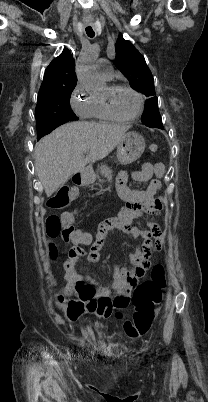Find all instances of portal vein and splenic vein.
Listing matches in <instances>:
<instances>
[{
  "label": "portal vein and splenic vein",
  "mask_w": 208,
  "mask_h": 402,
  "mask_svg": "<svg viewBox=\"0 0 208 402\" xmlns=\"http://www.w3.org/2000/svg\"><path fill=\"white\" fill-rule=\"evenodd\" d=\"M89 160H91V156H90V154H88V156H86V158H85V162H89Z\"/></svg>",
  "instance_id": "1"
}]
</instances>
